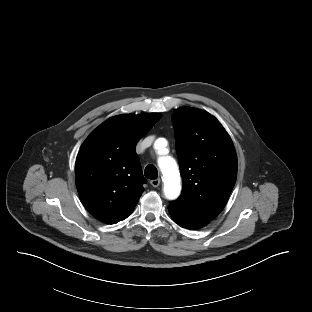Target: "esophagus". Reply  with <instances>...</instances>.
I'll list each match as a JSON object with an SVG mask.
<instances>
[{"label": "esophagus", "mask_w": 312, "mask_h": 312, "mask_svg": "<svg viewBox=\"0 0 312 312\" xmlns=\"http://www.w3.org/2000/svg\"><path fill=\"white\" fill-rule=\"evenodd\" d=\"M160 182H161L160 179H154V180H151V181H150V184H151L153 187H158V186L160 185Z\"/></svg>", "instance_id": "34e87169"}]
</instances>
